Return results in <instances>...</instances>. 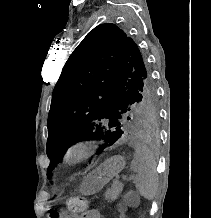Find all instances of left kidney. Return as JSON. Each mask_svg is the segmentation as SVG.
I'll return each instance as SVG.
<instances>
[{
	"instance_id": "5707ae66",
	"label": "left kidney",
	"mask_w": 211,
	"mask_h": 218,
	"mask_svg": "<svg viewBox=\"0 0 211 218\" xmlns=\"http://www.w3.org/2000/svg\"><path fill=\"white\" fill-rule=\"evenodd\" d=\"M114 206L117 210L114 211L115 215H132V210H128L126 207V198H121V202H115Z\"/></svg>"
}]
</instances>
